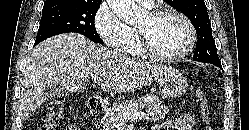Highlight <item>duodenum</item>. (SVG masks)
<instances>
[{
  "label": "duodenum",
  "mask_w": 249,
  "mask_h": 130,
  "mask_svg": "<svg viewBox=\"0 0 249 130\" xmlns=\"http://www.w3.org/2000/svg\"><path fill=\"white\" fill-rule=\"evenodd\" d=\"M87 106L92 114H100L104 109L102 100L97 96L89 98Z\"/></svg>",
  "instance_id": "410a0bca"
}]
</instances>
